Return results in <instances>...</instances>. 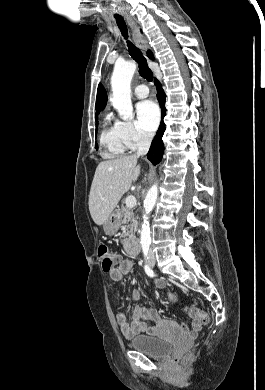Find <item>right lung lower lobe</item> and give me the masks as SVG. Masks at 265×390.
I'll list each match as a JSON object with an SVG mask.
<instances>
[{
    "label": "right lung lower lobe",
    "mask_w": 265,
    "mask_h": 390,
    "mask_svg": "<svg viewBox=\"0 0 265 390\" xmlns=\"http://www.w3.org/2000/svg\"><path fill=\"white\" fill-rule=\"evenodd\" d=\"M155 84L157 87L158 101H159L160 106L162 108L161 114H162V119H163L165 114H166V109L164 107L166 95H165L164 91L162 90L161 84L158 82V80H155ZM164 131H165V124L162 120L161 124L159 126V129L156 133V136L154 137V139L151 143V147L149 149V152L147 154V158L152 162L153 165L158 164L161 161L162 156H163L164 144L162 141V136L164 134Z\"/></svg>",
    "instance_id": "1"
}]
</instances>
